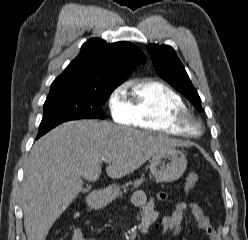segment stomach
I'll list each match as a JSON object with an SVG mask.
<instances>
[{
    "label": "stomach",
    "mask_w": 248,
    "mask_h": 240,
    "mask_svg": "<svg viewBox=\"0 0 248 240\" xmlns=\"http://www.w3.org/2000/svg\"><path fill=\"white\" fill-rule=\"evenodd\" d=\"M187 166L185 154L177 149L158 153L150 161V172L159 182H173L181 177ZM119 195V187L111 186L103 197L105 201H111Z\"/></svg>",
    "instance_id": "obj_1"
}]
</instances>
